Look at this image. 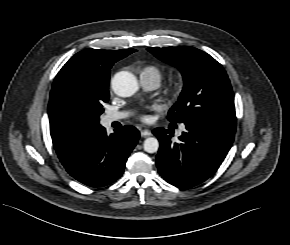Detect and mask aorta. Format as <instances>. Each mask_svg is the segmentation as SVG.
<instances>
[{"label": "aorta", "instance_id": "1", "mask_svg": "<svg viewBox=\"0 0 290 245\" xmlns=\"http://www.w3.org/2000/svg\"><path fill=\"white\" fill-rule=\"evenodd\" d=\"M111 84L113 91L121 97H130L139 89L136 77L128 71L116 73ZM143 146L146 152L155 153L159 149V141L155 137H149L145 139Z\"/></svg>", "mask_w": 290, "mask_h": 245}]
</instances>
